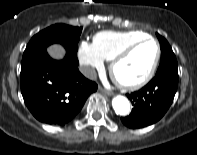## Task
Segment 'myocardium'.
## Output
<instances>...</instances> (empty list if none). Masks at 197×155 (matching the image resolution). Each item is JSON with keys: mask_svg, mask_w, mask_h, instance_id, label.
I'll list each match as a JSON object with an SVG mask.
<instances>
[{"mask_svg": "<svg viewBox=\"0 0 197 155\" xmlns=\"http://www.w3.org/2000/svg\"><path fill=\"white\" fill-rule=\"evenodd\" d=\"M146 42H152L156 45V55H155L152 65L149 68L146 75L142 79H140L136 82H132V83L123 82L120 79H118V77L116 76L117 65L121 61H123L125 58H127L137 47H139L140 45H142L143 43H146ZM160 58H161V47H160L159 42L153 37L142 38L138 41H135V42L125 46L113 57V59L111 60V63H110V67H109L111 78L120 88H122L124 90H127V91L138 90V89L144 87L153 78V76L157 70Z\"/></svg>", "mask_w": 197, "mask_h": 155, "instance_id": "myocardium-1", "label": "myocardium"}]
</instances>
